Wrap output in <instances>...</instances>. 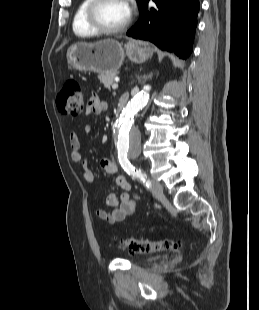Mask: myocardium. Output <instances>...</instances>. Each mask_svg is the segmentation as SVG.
<instances>
[{"mask_svg": "<svg viewBox=\"0 0 259 310\" xmlns=\"http://www.w3.org/2000/svg\"><path fill=\"white\" fill-rule=\"evenodd\" d=\"M105 0H91L89 5L87 6L86 13H85V20L87 25L97 34H104V35H113L118 34L126 30L131 22V17L129 16L127 20L120 25L119 27L115 28H108L103 26L97 19L96 12L98 7L104 2Z\"/></svg>", "mask_w": 259, "mask_h": 310, "instance_id": "1", "label": "myocardium"}]
</instances>
